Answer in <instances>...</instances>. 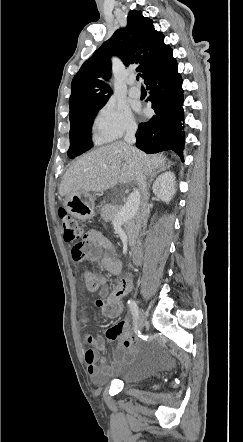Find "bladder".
Here are the masks:
<instances>
[{"label":"bladder","instance_id":"31cf9c89","mask_svg":"<svg viewBox=\"0 0 243 442\" xmlns=\"http://www.w3.org/2000/svg\"><path fill=\"white\" fill-rule=\"evenodd\" d=\"M154 372L151 362L143 354H134L116 370V379L129 387H140Z\"/></svg>","mask_w":243,"mask_h":442}]
</instances>
